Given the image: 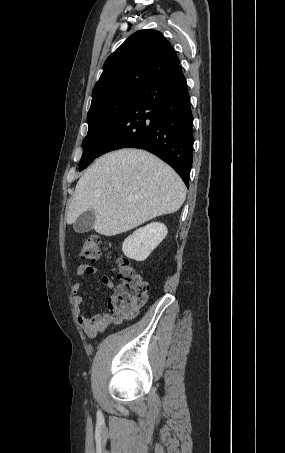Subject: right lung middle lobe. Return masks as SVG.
Masks as SVG:
<instances>
[{
	"instance_id": "1",
	"label": "right lung middle lobe",
	"mask_w": 285,
	"mask_h": 453,
	"mask_svg": "<svg viewBox=\"0 0 285 453\" xmlns=\"http://www.w3.org/2000/svg\"><path fill=\"white\" fill-rule=\"evenodd\" d=\"M138 93L139 91L124 93L89 109L87 115L89 129L82 142L83 155L79 171L85 169L101 155L104 144L138 97Z\"/></svg>"
}]
</instances>
